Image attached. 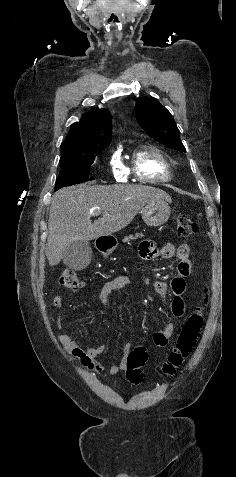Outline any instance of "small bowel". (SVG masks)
<instances>
[{"label":"small bowel","instance_id":"obj_1","mask_svg":"<svg viewBox=\"0 0 236 477\" xmlns=\"http://www.w3.org/2000/svg\"><path fill=\"white\" fill-rule=\"evenodd\" d=\"M174 255L179 259L178 264V274L172 279L171 290L173 293V298L170 301V306L172 314L177 317H183L185 313V303L183 295L185 293V280L184 278L188 276L192 270V260L190 258V248L186 244H181L177 249L172 243H165L161 247H157L154 242L146 240L143 241L140 245V256L146 260H153L155 258L161 259H170ZM130 283V278L126 275H120L112 279L107 280L100 292L99 298L100 302L104 306H110L112 303V296L125 288ZM153 290L164 300H168L169 288L166 282L162 280H153L152 281ZM52 303L54 307L60 308L63 304L61 296L56 295ZM53 319V314L50 315ZM56 323L59 329L62 328V318L58 316L56 318ZM175 330V324L173 322L167 323L162 326L158 331L153 334V345L155 348L165 347L172 337ZM58 340L62 346L75 358H77L80 364L90 370H93L97 373H101L104 370L103 365L97 360V357L102 354L105 350L104 345H94L88 349H84L65 333H60L58 335ZM131 345L126 344L122 348V358L121 360L110 366L108 369V374L114 376L118 374L121 370H124L127 367V356L130 352Z\"/></svg>","mask_w":236,"mask_h":477}]
</instances>
